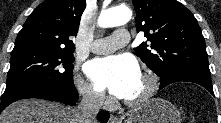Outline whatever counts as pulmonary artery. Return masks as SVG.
I'll list each match as a JSON object with an SVG mask.
<instances>
[{
	"label": "pulmonary artery",
	"mask_w": 221,
	"mask_h": 123,
	"mask_svg": "<svg viewBox=\"0 0 221 123\" xmlns=\"http://www.w3.org/2000/svg\"><path fill=\"white\" fill-rule=\"evenodd\" d=\"M129 41V33L126 29H117L114 33L105 38L96 39L91 44V51L97 54H106L124 46Z\"/></svg>",
	"instance_id": "obj_1"
}]
</instances>
